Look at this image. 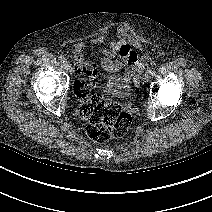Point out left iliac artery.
<instances>
[{
  "instance_id": "obj_1",
  "label": "left iliac artery",
  "mask_w": 212,
  "mask_h": 212,
  "mask_svg": "<svg viewBox=\"0 0 212 212\" xmlns=\"http://www.w3.org/2000/svg\"><path fill=\"white\" fill-rule=\"evenodd\" d=\"M147 73H149L151 76H155V71H154L153 68H149V69L147 70Z\"/></svg>"
}]
</instances>
